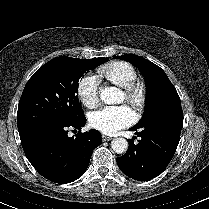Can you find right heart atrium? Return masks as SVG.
<instances>
[{
  "label": "right heart atrium",
  "mask_w": 209,
  "mask_h": 209,
  "mask_svg": "<svg viewBox=\"0 0 209 209\" xmlns=\"http://www.w3.org/2000/svg\"><path fill=\"white\" fill-rule=\"evenodd\" d=\"M100 80L95 74L85 75L77 87L78 97L86 107H93L98 101Z\"/></svg>",
  "instance_id": "d8ad5b80"
}]
</instances>
